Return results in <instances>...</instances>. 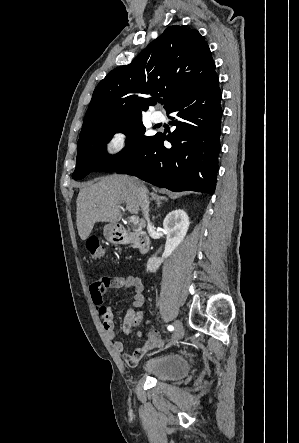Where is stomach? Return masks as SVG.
<instances>
[{"instance_id":"obj_1","label":"stomach","mask_w":299,"mask_h":443,"mask_svg":"<svg viewBox=\"0 0 299 443\" xmlns=\"http://www.w3.org/2000/svg\"><path fill=\"white\" fill-rule=\"evenodd\" d=\"M103 233H104L105 238L109 242L114 243L115 242L116 225L115 224H107L104 227Z\"/></svg>"}]
</instances>
